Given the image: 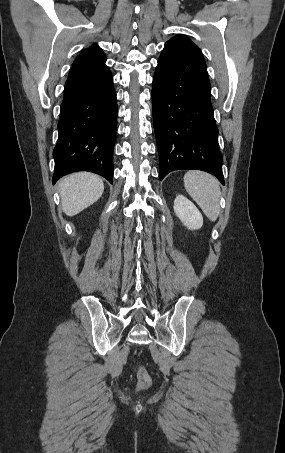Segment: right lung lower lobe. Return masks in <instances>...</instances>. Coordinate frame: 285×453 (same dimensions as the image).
Here are the masks:
<instances>
[{
	"label": "right lung lower lobe",
	"mask_w": 285,
	"mask_h": 453,
	"mask_svg": "<svg viewBox=\"0 0 285 453\" xmlns=\"http://www.w3.org/2000/svg\"><path fill=\"white\" fill-rule=\"evenodd\" d=\"M116 121V93L109 68L72 65L53 150V183L75 171L94 172L113 183Z\"/></svg>",
	"instance_id": "obj_1"
}]
</instances>
